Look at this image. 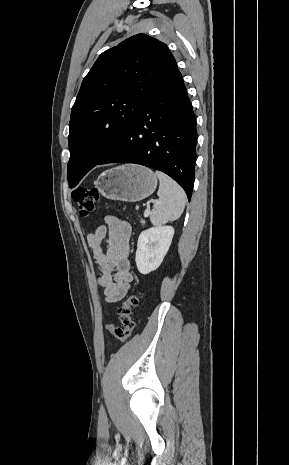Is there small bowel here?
I'll list each match as a JSON object with an SVG mask.
<instances>
[{"label":"small bowel","mask_w":289,"mask_h":465,"mask_svg":"<svg viewBox=\"0 0 289 465\" xmlns=\"http://www.w3.org/2000/svg\"><path fill=\"white\" fill-rule=\"evenodd\" d=\"M104 221V225L87 236V242L99 268L97 282L103 288L105 300L114 303L126 296L133 281L128 260L131 227L112 215Z\"/></svg>","instance_id":"1"}]
</instances>
